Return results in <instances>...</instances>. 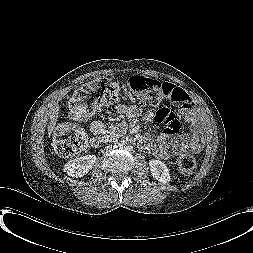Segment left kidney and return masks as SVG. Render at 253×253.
<instances>
[{"mask_svg":"<svg viewBox=\"0 0 253 253\" xmlns=\"http://www.w3.org/2000/svg\"><path fill=\"white\" fill-rule=\"evenodd\" d=\"M151 175L158 181L162 183H167L170 181L169 169L160 160H150L149 161Z\"/></svg>","mask_w":253,"mask_h":253,"instance_id":"left-kidney-1","label":"left kidney"}]
</instances>
